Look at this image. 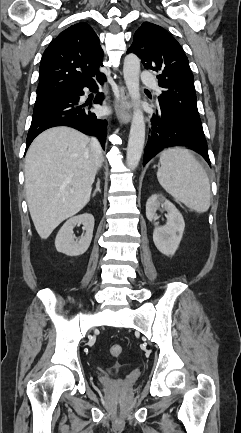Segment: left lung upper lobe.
<instances>
[{
  "label": "left lung upper lobe",
  "instance_id": "5c2ea615",
  "mask_svg": "<svg viewBox=\"0 0 241 433\" xmlns=\"http://www.w3.org/2000/svg\"><path fill=\"white\" fill-rule=\"evenodd\" d=\"M135 53L146 69L158 73L159 106L204 136L197 109L194 77L180 44L162 27L144 22L134 34L127 53Z\"/></svg>",
  "mask_w": 241,
  "mask_h": 433
}]
</instances>
